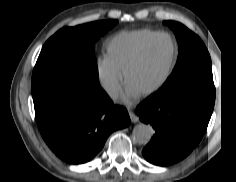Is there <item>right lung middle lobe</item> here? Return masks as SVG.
<instances>
[{
	"mask_svg": "<svg viewBox=\"0 0 236 182\" xmlns=\"http://www.w3.org/2000/svg\"><path fill=\"white\" fill-rule=\"evenodd\" d=\"M117 24V20L96 21L64 27L44 44L32 73L31 89L73 83L102 98L94 56L95 42Z\"/></svg>",
	"mask_w": 236,
	"mask_h": 182,
	"instance_id": "dd1d6c3e",
	"label": "right lung middle lobe"
}]
</instances>
